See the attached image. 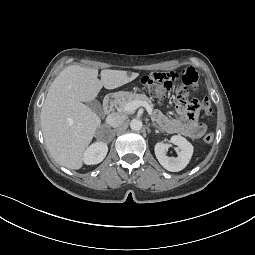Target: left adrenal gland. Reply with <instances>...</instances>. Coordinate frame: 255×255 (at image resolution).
Masks as SVG:
<instances>
[{"mask_svg":"<svg viewBox=\"0 0 255 255\" xmlns=\"http://www.w3.org/2000/svg\"><path fill=\"white\" fill-rule=\"evenodd\" d=\"M152 126H154V127H158L155 123H153V124H152Z\"/></svg>","mask_w":255,"mask_h":255,"instance_id":"a2214340","label":"left adrenal gland"}]
</instances>
